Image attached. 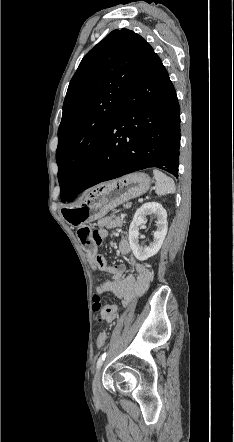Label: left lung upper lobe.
I'll use <instances>...</instances> for the list:
<instances>
[{
	"instance_id": "obj_1",
	"label": "left lung upper lobe",
	"mask_w": 234,
	"mask_h": 442,
	"mask_svg": "<svg viewBox=\"0 0 234 442\" xmlns=\"http://www.w3.org/2000/svg\"><path fill=\"white\" fill-rule=\"evenodd\" d=\"M153 54L144 38L122 29L109 33L82 59L70 81L58 129L56 161L63 202L83 185L124 95Z\"/></svg>"
}]
</instances>
